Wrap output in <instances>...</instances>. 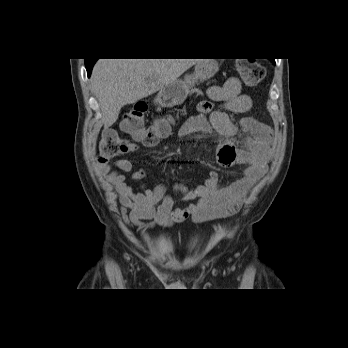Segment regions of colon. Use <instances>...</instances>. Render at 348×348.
<instances>
[{
  "mask_svg": "<svg viewBox=\"0 0 348 348\" xmlns=\"http://www.w3.org/2000/svg\"><path fill=\"white\" fill-rule=\"evenodd\" d=\"M238 71L241 79L248 86H257L265 75L264 66L257 60L241 59L238 61ZM147 106L143 103L131 108L121 121V129L129 133L132 138L152 145L166 137L175 120L173 117H164L155 120L150 126H146L144 118ZM130 144L115 130H106L99 141L98 162L107 164L116 157L126 154Z\"/></svg>",
  "mask_w": 348,
  "mask_h": 348,
  "instance_id": "5ec220e1",
  "label": "colon"
}]
</instances>
